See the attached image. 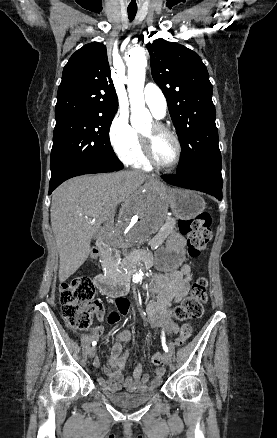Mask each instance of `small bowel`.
Masks as SVG:
<instances>
[{
  "label": "small bowel",
  "instance_id": "c3829d8e",
  "mask_svg": "<svg viewBox=\"0 0 277 438\" xmlns=\"http://www.w3.org/2000/svg\"><path fill=\"white\" fill-rule=\"evenodd\" d=\"M192 281L191 268L184 263L179 269L171 271L169 274H155L153 284L149 289L150 294L156 295V300H151L146 304V313L152 328L163 327L168 335L176 334L179 327L174 321V305L181 302L187 295ZM98 312H103V305L96 304ZM128 314L127 312L124 315ZM104 333V327L99 325L94 327L89 335H84L82 340L86 343L91 338H97ZM131 340V332L128 329L120 331L115 341L110 345L108 366L104 369L107 379L98 378V384L111 392L125 389L132 392H144L156 388L164 376V368H156L154 377L151 379L147 374H143L142 364H137L131 376H124L128 360V351L124 350L123 345ZM94 364L98 366V360Z\"/></svg>",
  "mask_w": 277,
  "mask_h": 438
}]
</instances>
